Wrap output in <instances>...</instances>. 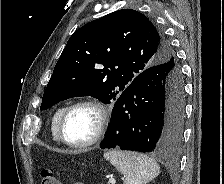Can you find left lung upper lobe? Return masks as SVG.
Wrapping results in <instances>:
<instances>
[{
    "label": "left lung upper lobe",
    "instance_id": "1",
    "mask_svg": "<svg viewBox=\"0 0 224 184\" xmlns=\"http://www.w3.org/2000/svg\"><path fill=\"white\" fill-rule=\"evenodd\" d=\"M168 61H174L175 70L180 69L170 44L147 17L132 9L112 12L70 37L40 109L79 96L108 104L141 72Z\"/></svg>",
    "mask_w": 224,
    "mask_h": 184
}]
</instances>
